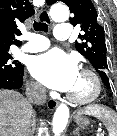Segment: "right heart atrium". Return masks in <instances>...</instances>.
Instances as JSON below:
<instances>
[{"mask_svg":"<svg viewBox=\"0 0 117 136\" xmlns=\"http://www.w3.org/2000/svg\"><path fill=\"white\" fill-rule=\"evenodd\" d=\"M27 87L29 94L32 96L39 97L43 94L42 87L35 81H29Z\"/></svg>","mask_w":117,"mask_h":136,"instance_id":"1","label":"right heart atrium"}]
</instances>
